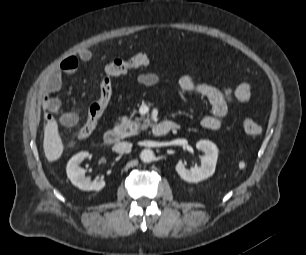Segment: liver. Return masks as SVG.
Wrapping results in <instances>:
<instances>
[{
    "label": "liver",
    "mask_w": 306,
    "mask_h": 255,
    "mask_svg": "<svg viewBox=\"0 0 306 255\" xmlns=\"http://www.w3.org/2000/svg\"><path fill=\"white\" fill-rule=\"evenodd\" d=\"M43 148L49 162L58 160L63 154L64 145L55 119L49 120L44 128Z\"/></svg>",
    "instance_id": "1"
}]
</instances>
